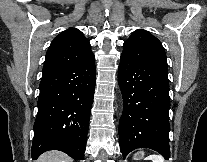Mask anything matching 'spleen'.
Listing matches in <instances>:
<instances>
[{"instance_id": "1", "label": "spleen", "mask_w": 207, "mask_h": 162, "mask_svg": "<svg viewBox=\"0 0 207 162\" xmlns=\"http://www.w3.org/2000/svg\"><path fill=\"white\" fill-rule=\"evenodd\" d=\"M144 160H151L152 162H165V159L161 155H150Z\"/></svg>"}]
</instances>
